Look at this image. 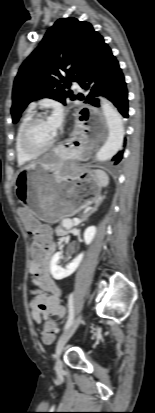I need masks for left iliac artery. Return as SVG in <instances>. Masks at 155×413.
<instances>
[{"label": "left iliac artery", "mask_w": 155, "mask_h": 413, "mask_svg": "<svg viewBox=\"0 0 155 413\" xmlns=\"http://www.w3.org/2000/svg\"><path fill=\"white\" fill-rule=\"evenodd\" d=\"M73 319H74L73 294L71 293L69 295V315H68V319L64 327L65 330L72 324Z\"/></svg>", "instance_id": "obj_1"}]
</instances>
